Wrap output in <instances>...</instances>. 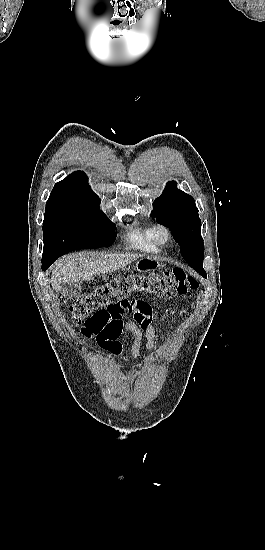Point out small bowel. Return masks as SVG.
<instances>
[{"label":"small bowel","mask_w":265,"mask_h":550,"mask_svg":"<svg viewBox=\"0 0 265 550\" xmlns=\"http://www.w3.org/2000/svg\"><path fill=\"white\" fill-rule=\"evenodd\" d=\"M140 313L144 315V319L147 322L144 326H139L135 323H125L123 324L120 319L115 320L117 325V330L113 338H103L101 341L105 348L111 352L113 355L120 356L122 354V344L119 339L123 334L129 332L134 337V343L131 348V355L135 360L140 359L141 357V345L143 339H145V348L150 351L154 348L156 332L153 326V319L150 313V307L147 304H143L140 309ZM172 314V312H170ZM82 342H86L90 338L96 336L91 332L86 326L81 329Z\"/></svg>","instance_id":"c3829d8e"}]
</instances>
